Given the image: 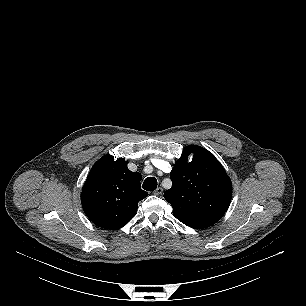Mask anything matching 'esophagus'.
Masks as SVG:
<instances>
[{
    "mask_svg": "<svg viewBox=\"0 0 306 306\" xmlns=\"http://www.w3.org/2000/svg\"><path fill=\"white\" fill-rule=\"evenodd\" d=\"M162 192H163V189H162L161 187H158V188L153 192V194H154V195H160V194H162Z\"/></svg>",
    "mask_w": 306,
    "mask_h": 306,
    "instance_id": "34e87169",
    "label": "esophagus"
}]
</instances>
